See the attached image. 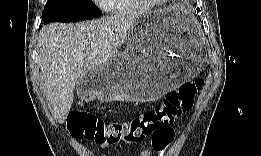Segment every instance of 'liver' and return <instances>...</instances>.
I'll return each instance as SVG.
<instances>
[{
    "mask_svg": "<svg viewBox=\"0 0 261 156\" xmlns=\"http://www.w3.org/2000/svg\"><path fill=\"white\" fill-rule=\"evenodd\" d=\"M142 15H112L77 24L51 23L39 32V63L54 117L64 123L74 100V87L85 73L118 53Z\"/></svg>",
    "mask_w": 261,
    "mask_h": 156,
    "instance_id": "1",
    "label": "liver"
}]
</instances>
